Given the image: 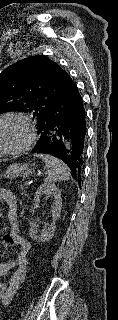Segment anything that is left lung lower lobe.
<instances>
[{
  "label": "left lung lower lobe",
  "mask_w": 118,
  "mask_h": 320,
  "mask_svg": "<svg viewBox=\"0 0 118 320\" xmlns=\"http://www.w3.org/2000/svg\"><path fill=\"white\" fill-rule=\"evenodd\" d=\"M36 126L40 137L32 152L60 159L80 181L87 128L83 100L75 83L70 82Z\"/></svg>",
  "instance_id": "obj_1"
}]
</instances>
